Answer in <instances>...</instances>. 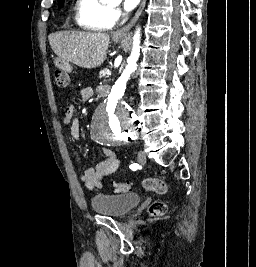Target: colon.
<instances>
[{"label": "colon", "mask_w": 256, "mask_h": 267, "mask_svg": "<svg viewBox=\"0 0 256 267\" xmlns=\"http://www.w3.org/2000/svg\"><path fill=\"white\" fill-rule=\"evenodd\" d=\"M55 82L59 88H67L70 84L69 73H62L61 69L55 71ZM116 192L126 193L132 191V185L127 182H116L113 185ZM142 188L147 192H168L166 183L158 178H145ZM167 211V205L163 201H156L149 207V212L154 215H162Z\"/></svg>", "instance_id": "1"}]
</instances>
